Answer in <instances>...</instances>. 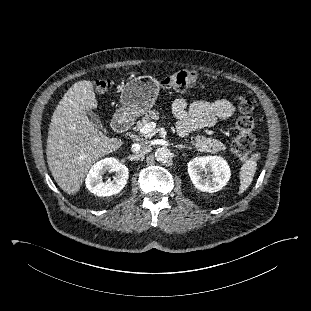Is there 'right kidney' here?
Wrapping results in <instances>:
<instances>
[{
    "mask_svg": "<svg viewBox=\"0 0 311 311\" xmlns=\"http://www.w3.org/2000/svg\"><path fill=\"white\" fill-rule=\"evenodd\" d=\"M106 171L115 172L112 181L104 183L102 176ZM128 168L113 157H107L94 164L86 178V187L97 196H112L119 193L127 183Z\"/></svg>",
    "mask_w": 311,
    "mask_h": 311,
    "instance_id": "1",
    "label": "right kidney"
}]
</instances>
